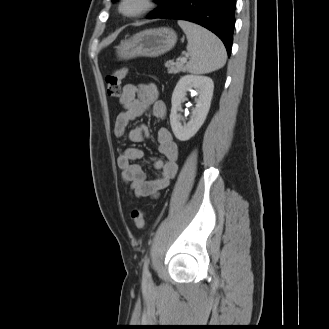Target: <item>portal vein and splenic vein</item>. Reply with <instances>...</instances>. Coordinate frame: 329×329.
I'll list each match as a JSON object with an SVG mask.
<instances>
[{
	"instance_id": "1",
	"label": "portal vein and splenic vein",
	"mask_w": 329,
	"mask_h": 329,
	"mask_svg": "<svg viewBox=\"0 0 329 329\" xmlns=\"http://www.w3.org/2000/svg\"><path fill=\"white\" fill-rule=\"evenodd\" d=\"M180 62H182V63H186V62H187V56H186V57H182V58H180Z\"/></svg>"
}]
</instances>
